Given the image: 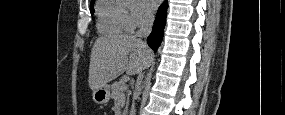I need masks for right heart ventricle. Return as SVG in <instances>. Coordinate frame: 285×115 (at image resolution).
Here are the masks:
<instances>
[{"label":"right heart ventricle","instance_id":"1","mask_svg":"<svg viewBox=\"0 0 285 115\" xmlns=\"http://www.w3.org/2000/svg\"><path fill=\"white\" fill-rule=\"evenodd\" d=\"M97 28L103 36H116L128 31V12L117 1H101L97 8Z\"/></svg>","mask_w":285,"mask_h":115}]
</instances>
